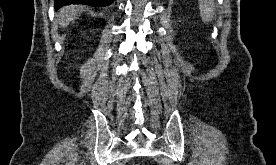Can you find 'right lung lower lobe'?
I'll use <instances>...</instances> for the list:
<instances>
[{
	"label": "right lung lower lobe",
	"instance_id": "obj_1",
	"mask_svg": "<svg viewBox=\"0 0 276 165\" xmlns=\"http://www.w3.org/2000/svg\"><path fill=\"white\" fill-rule=\"evenodd\" d=\"M113 1L114 0H55L54 7L56 10L68 4H86L102 7L110 5Z\"/></svg>",
	"mask_w": 276,
	"mask_h": 165
}]
</instances>
